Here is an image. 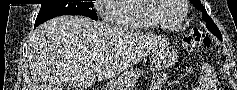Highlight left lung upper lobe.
<instances>
[{
	"instance_id": "5c2ea615",
	"label": "left lung upper lobe",
	"mask_w": 237,
	"mask_h": 90,
	"mask_svg": "<svg viewBox=\"0 0 237 90\" xmlns=\"http://www.w3.org/2000/svg\"><path fill=\"white\" fill-rule=\"evenodd\" d=\"M190 2L199 10L202 11V18L203 20H205L206 22V27L207 29L214 34L219 40L222 41V36L221 33L219 31V29L217 28V26L215 25V23L212 21V19L209 17V15L207 14L204 6L201 4L200 0H190Z\"/></svg>"
}]
</instances>
